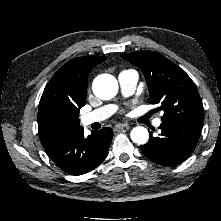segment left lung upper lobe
Masks as SVG:
<instances>
[{
  "mask_svg": "<svg viewBox=\"0 0 221 221\" xmlns=\"http://www.w3.org/2000/svg\"><path fill=\"white\" fill-rule=\"evenodd\" d=\"M121 57L139 66L146 78L151 104L164 111L162 122L203 124L204 109L196 85L174 63L154 51H138Z\"/></svg>",
  "mask_w": 221,
  "mask_h": 221,
  "instance_id": "obj_1",
  "label": "left lung upper lobe"
}]
</instances>
